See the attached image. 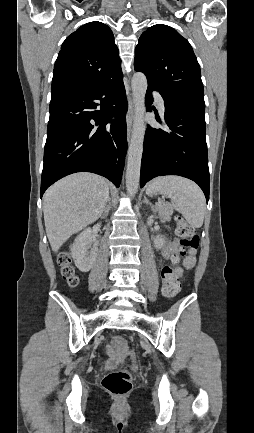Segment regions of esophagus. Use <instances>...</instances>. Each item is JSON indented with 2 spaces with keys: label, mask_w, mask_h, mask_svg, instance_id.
<instances>
[{
  "label": "esophagus",
  "mask_w": 254,
  "mask_h": 433,
  "mask_svg": "<svg viewBox=\"0 0 254 433\" xmlns=\"http://www.w3.org/2000/svg\"><path fill=\"white\" fill-rule=\"evenodd\" d=\"M133 118H134V106H133V99H132V97L130 95V98H129V107H128V111H127V114H126L128 142L130 141V137H131Z\"/></svg>",
  "instance_id": "34e87169"
}]
</instances>
